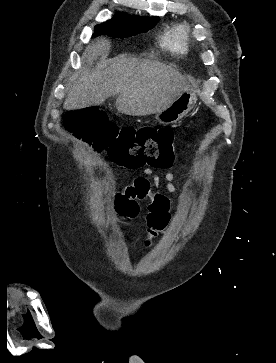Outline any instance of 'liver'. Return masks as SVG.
Returning <instances> with one entry per match:
<instances>
[{"label":"liver","mask_w":276,"mask_h":363,"mask_svg":"<svg viewBox=\"0 0 276 363\" xmlns=\"http://www.w3.org/2000/svg\"><path fill=\"white\" fill-rule=\"evenodd\" d=\"M109 48L110 42L100 38L85 49L82 58L89 68L71 77L64 102L66 110L100 105L117 95L116 108L120 113L144 116L164 109L188 90L187 79L159 61L120 55L107 66L92 68Z\"/></svg>","instance_id":"liver-1"}]
</instances>
